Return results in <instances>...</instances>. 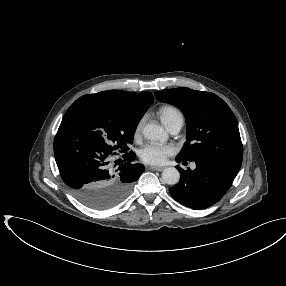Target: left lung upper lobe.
I'll list each match as a JSON object with an SVG mask.
<instances>
[{"instance_id":"obj_1","label":"left lung upper lobe","mask_w":286,"mask_h":286,"mask_svg":"<svg viewBox=\"0 0 286 286\" xmlns=\"http://www.w3.org/2000/svg\"><path fill=\"white\" fill-rule=\"evenodd\" d=\"M155 97L177 106L185 116L187 141L178 158L219 159L241 166L243 146L237 120L220 97L185 87L156 91Z\"/></svg>"}]
</instances>
